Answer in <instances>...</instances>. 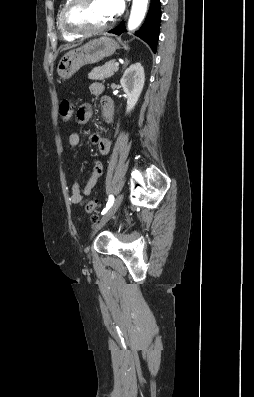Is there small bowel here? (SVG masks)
<instances>
[{
    "label": "small bowel",
    "instance_id": "1",
    "mask_svg": "<svg viewBox=\"0 0 254 397\" xmlns=\"http://www.w3.org/2000/svg\"><path fill=\"white\" fill-rule=\"evenodd\" d=\"M104 91V85L100 82H93L90 85V92L94 96H101ZM101 111L102 116L106 123H111L114 115V104L110 97L102 96L101 98ZM92 117V106L89 103L80 105L76 115V121L78 124H87ZM91 143L97 145L98 152L102 156L108 155L111 147V143L108 138L102 136L99 133H93L90 136ZM81 143V136L74 132L69 136V144L73 147L79 146ZM103 173V164L101 161H96L89 175V178L83 188L78 183H73L71 186V197L70 201L73 204L82 205L86 198L91 194L94 187L97 185L101 175Z\"/></svg>",
    "mask_w": 254,
    "mask_h": 397
}]
</instances>
